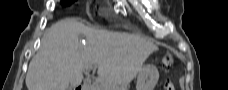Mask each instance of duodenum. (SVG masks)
<instances>
[{"mask_svg":"<svg viewBox=\"0 0 228 90\" xmlns=\"http://www.w3.org/2000/svg\"><path fill=\"white\" fill-rule=\"evenodd\" d=\"M76 90H87V89H85L84 86H79L76 88Z\"/></svg>","mask_w":228,"mask_h":90,"instance_id":"1","label":"duodenum"}]
</instances>
